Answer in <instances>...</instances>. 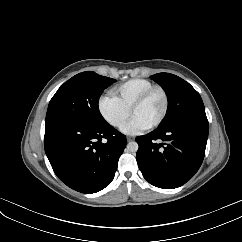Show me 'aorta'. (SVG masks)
<instances>
[{
    "instance_id": "aorta-1",
    "label": "aorta",
    "mask_w": 242,
    "mask_h": 242,
    "mask_svg": "<svg viewBox=\"0 0 242 242\" xmlns=\"http://www.w3.org/2000/svg\"><path fill=\"white\" fill-rule=\"evenodd\" d=\"M138 148H139V146H138L137 142H135V141H133V142H129V143L127 144V150H128L129 152L135 153V152L138 151Z\"/></svg>"
}]
</instances>
